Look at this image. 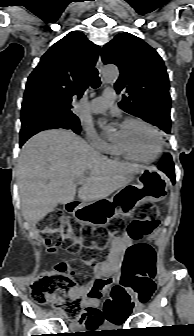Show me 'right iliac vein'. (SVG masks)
Listing matches in <instances>:
<instances>
[{
	"label": "right iliac vein",
	"instance_id": "right-iliac-vein-1",
	"mask_svg": "<svg viewBox=\"0 0 194 336\" xmlns=\"http://www.w3.org/2000/svg\"><path fill=\"white\" fill-rule=\"evenodd\" d=\"M57 314H58L59 316H62V312H58Z\"/></svg>",
	"mask_w": 194,
	"mask_h": 336
}]
</instances>
